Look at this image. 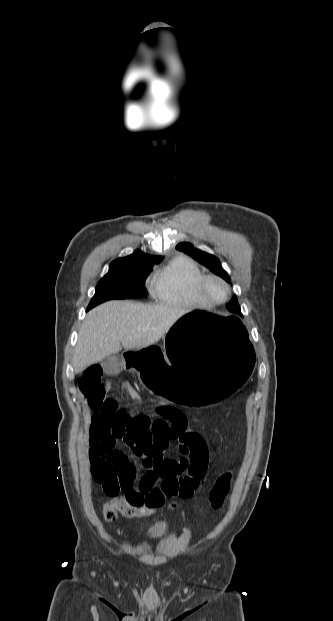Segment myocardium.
<instances>
[{"mask_svg": "<svg viewBox=\"0 0 333 621\" xmlns=\"http://www.w3.org/2000/svg\"><path fill=\"white\" fill-rule=\"evenodd\" d=\"M210 281H217L223 285L224 296L222 298L216 299L209 294L207 287ZM198 291L201 297L203 298V300L207 302L210 306L220 305V304L225 303L231 293L229 283L224 278L218 275H214V274L205 275L201 278V280L198 283Z\"/></svg>", "mask_w": 333, "mask_h": 621, "instance_id": "1", "label": "myocardium"}]
</instances>
